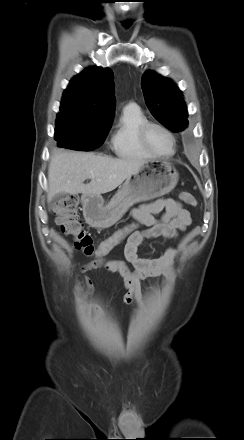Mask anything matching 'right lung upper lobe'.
<instances>
[{"instance_id": "cb5924a9", "label": "right lung upper lobe", "mask_w": 244, "mask_h": 440, "mask_svg": "<svg viewBox=\"0 0 244 440\" xmlns=\"http://www.w3.org/2000/svg\"><path fill=\"white\" fill-rule=\"evenodd\" d=\"M113 72L91 67L72 78L64 91L56 122L112 123L115 109Z\"/></svg>"}]
</instances>
